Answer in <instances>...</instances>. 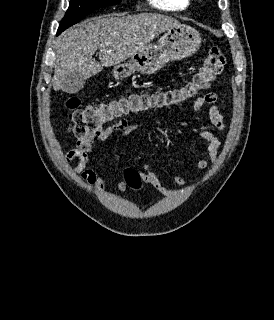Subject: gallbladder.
I'll list each match as a JSON object with an SVG mask.
<instances>
[{"instance_id":"obj_1","label":"gallbladder","mask_w":274,"mask_h":320,"mask_svg":"<svg viewBox=\"0 0 274 320\" xmlns=\"http://www.w3.org/2000/svg\"><path fill=\"white\" fill-rule=\"evenodd\" d=\"M82 73L80 69H74V72H68L67 78H64V90H66V95H80V90L83 88L84 82L81 80ZM81 85V88H79Z\"/></svg>"}]
</instances>
